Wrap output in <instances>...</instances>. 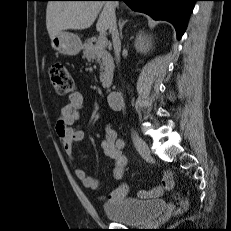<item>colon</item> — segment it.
Returning <instances> with one entry per match:
<instances>
[{"instance_id":"colon-1","label":"colon","mask_w":231,"mask_h":231,"mask_svg":"<svg viewBox=\"0 0 231 231\" xmlns=\"http://www.w3.org/2000/svg\"><path fill=\"white\" fill-rule=\"evenodd\" d=\"M50 78L53 88L59 96H68L75 91L74 78L63 64L54 63L51 65ZM186 205L187 203L182 200L179 210H183Z\"/></svg>"}]
</instances>
